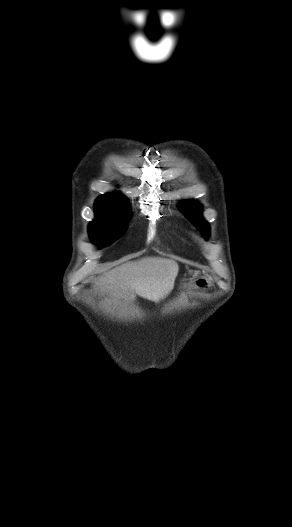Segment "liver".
<instances>
[{"mask_svg":"<svg viewBox=\"0 0 292 527\" xmlns=\"http://www.w3.org/2000/svg\"><path fill=\"white\" fill-rule=\"evenodd\" d=\"M178 271L174 260L144 257L104 273L98 284L103 293L114 298L124 296L134 300L139 295L158 303L173 289Z\"/></svg>","mask_w":292,"mask_h":527,"instance_id":"6515ba94","label":"liver"}]
</instances>
